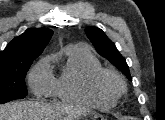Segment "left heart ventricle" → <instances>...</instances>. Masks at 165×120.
Wrapping results in <instances>:
<instances>
[{"instance_id":"1","label":"left heart ventricle","mask_w":165,"mask_h":120,"mask_svg":"<svg viewBox=\"0 0 165 120\" xmlns=\"http://www.w3.org/2000/svg\"><path fill=\"white\" fill-rule=\"evenodd\" d=\"M107 84L113 85V82H111L110 80H108V81H107Z\"/></svg>"}]
</instances>
